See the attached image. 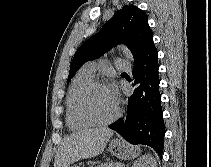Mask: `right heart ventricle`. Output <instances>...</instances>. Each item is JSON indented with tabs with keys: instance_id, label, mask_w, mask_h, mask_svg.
Here are the masks:
<instances>
[{
	"instance_id": "right-heart-ventricle-1",
	"label": "right heart ventricle",
	"mask_w": 211,
	"mask_h": 167,
	"mask_svg": "<svg viewBox=\"0 0 211 167\" xmlns=\"http://www.w3.org/2000/svg\"><path fill=\"white\" fill-rule=\"evenodd\" d=\"M94 78L86 69H81L74 77L66 97V122L73 131L84 130L92 125L85 121L77 111V101L81 91Z\"/></svg>"
}]
</instances>
